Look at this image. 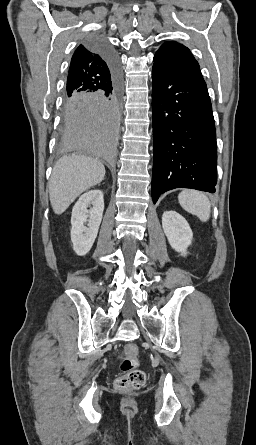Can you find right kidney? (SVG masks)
I'll list each match as a JSON object with an SVG mask.
<instances>
[{
    "label": "right kidney",
    "instance_id": "right-kidney-1",
    "mask_svg": "<svg viewBox=\"0 0 256 445\" xmlns=\"http://www.w3.org/2000/svg\"><path fill=\"white\" fill-rule=\"evenodd\" d=\"M90 206L92 207L88 210ZM103 210V193L96 189L81 195L74 205L71 216V241L77 255L84 256L92 248L102 221Z\"/></svg>",
    "mask_w": 256,
    "mask_h": 445
}]
</instances>
